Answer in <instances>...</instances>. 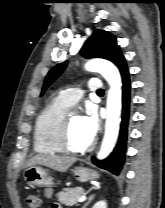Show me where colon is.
I'll use <instances>...</instances> for the list:
<instances>
[{
	"label": "colon",
	"instance_id": "obj_1",
	"mask_svg": "<svg viewBox=\"0 0 165 208\" xmlns=\"http://www.w3.org/2000/svg\"><path fill=\"white\" fill-rule=\"evenodd\" d=\"M26 201L29 208H40L41 201L37 195L35 194L28 195Z\"/></svg>",
	"mask_w": 165,
	"mask_h": 208
}]
</instances>
